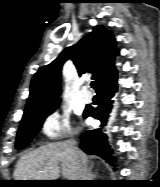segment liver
Returning a JSON list of instances; mask_svg holds the SVG:
<instances>
[{"mask_svg":"<svg viewBox=\"0 0 160 187\" xmlns=\"http://www.w3.org/2000/svg\"><path fill=\"white\" fill-rule=\"evenodd\" d=\"M76 154L67 143L43 145L23 155L17 162L15 180H57L60 173L67 180H79L80 166L87 168L88 159L80 150Z\"/></svg>","mask_w":160,"mask_h":187,"instance_id":"obj_1","label":"liver"}]
</instances>
